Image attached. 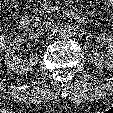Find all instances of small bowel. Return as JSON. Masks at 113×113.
<instances>
[{
  "label": "small bowel",
  "instance_id": "obj_1",
  "mask_svg": "<svg viewBox=\"0 0 113 113\" xmlns=\"http://www.w3.org/2000/svg\"><path fill=\"white\" fill-rule=\"evenodd\" d=\"M108 3L112 6L113 8V0H108Z\"/></svg>",
  "mask_w": 113,
  "mask_h": 113
}]
</instances>
